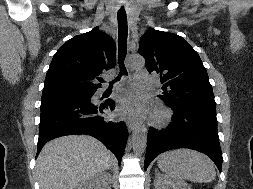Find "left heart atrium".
<instances>
[{
	"mask_svg": "<svg viewBox=\"0 0 253 189\" xmlns=\"http://www.w3.org/2000/svg\"><path fill=\"white\" fill-rule=\"evenodd\" d=\"M116 112L119 116L138 117L143 107L136 97L127 95L119 100Z\"/></svg>",
	"mask_w": 253,
	"mask_h": 189,
	"instance_id": "39dd6f15",
	"label": "left heart atrium"
}]
</instances>
